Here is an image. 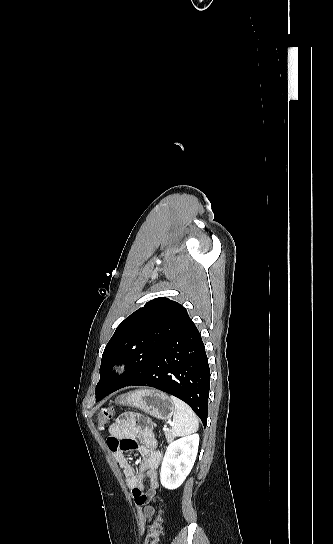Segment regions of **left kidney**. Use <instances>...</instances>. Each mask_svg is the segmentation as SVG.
I'll use <instances>...</instances> for the list:
<instances>
[{
	"mask_svg": "<svg viewBox=\"0 0 333 544\" xmlns=\"http://www.w3.org/2000/svg\"><path fill=\"white\" fill-rule=\"evenodd\" d=\"M199 435L192 434L172 440L161 466V484L170 490L178 488L190 473L196 460Z\"/></svg>",
	"mask_w": 333,
	"mask_h": 544,
	"instance_id": "left-kidney-1",
	"label": "left kidney"
}]
</instances>
